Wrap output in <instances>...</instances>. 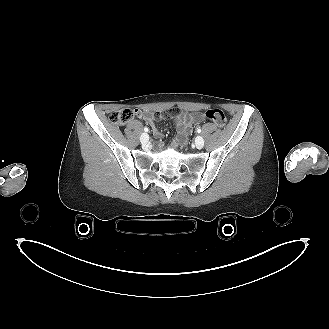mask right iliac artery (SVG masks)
<instances>
[{
  "label": "right iliac artery",
  "instance_id": "obj_1",
  "mask_svg": "<svg viewBox=\"0 0 329 329\" xmlns=\"http://www.w3.org/2000/svg\"><path fill=\"white\" fill-rule=\"evenodd\" d=\"M144 131H145V132H148L149 129H148L147 127H144Z\"/></svg>",
  "mask_w": 329,
  "mask_h": 329
}]
</instances>
